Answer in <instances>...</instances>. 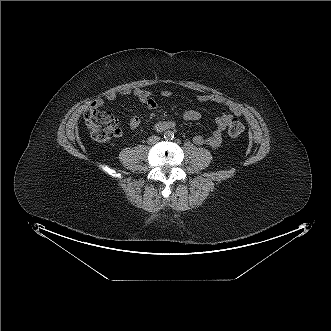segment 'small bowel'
Returning a JSON list of instances; mask_svg holds the SVG:
<instances>
[{
  "instance_id": "obj_1",
  "label": "small bowel",
  "mask_w": 331,
  "mask_h": 331,
  "mask_svg": "<svg viewBox=\"0 0 331 331\" xmlns=\"http://www.w3.org/2000/svg\"><path fill=\"white\" fill-rule=\"evenodd\" d=\"M172 91L163 90L159 93L160 97L168 98L172 96ZM132 96L137 98L140 102L145 104L147 110L152 111L157 108V102L155 100V95L149 90H144L141 88H133L123 92H109L106 94V99L109 101L115 100L119 96ZM195 99L199 102H212L216 104L223 105L227 108L226 112H223L220 116L215 119V127L209 137H203L202 135H195L193 137V142L195 145L202 146L208 145L209 147L215 149L221 145L222 142V132L227 128L231 120L235 117L241 115L242 111L238 104L232 100L218 94H202L197 95ZM104 105V100L99 98L95 100L91 107L100 108ZM202 117L201 113L194 109H188L184 112L182 118L187 122H194L200 120ZM142 122V117L134 115L128 119V126L130 129H137ZM172 123L170 121H160L155 125L157 131L162 132L166 130V125Z\"/></svg>"
}]
</instances>
